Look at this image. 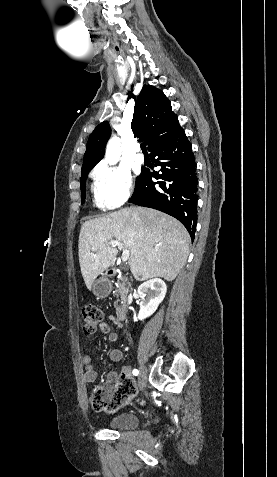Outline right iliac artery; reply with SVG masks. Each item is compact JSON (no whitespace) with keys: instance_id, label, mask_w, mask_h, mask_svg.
<instances>
[{"instance_id":"right-iliac-artery-1","label":"right iliac artery","mask_w":277,"mask_h":477,"mask_svg":"<svg viewBox=\"0 0 277 477\" xmlns=\"http://www.w3.org/2000/svg\"><path fill=\"white\" fill-rule=\"evenodd\" d=\"M138 374H139V371H138L137 369H134V370H133V375H134V376H137Z\"/></svg>"}]
</instances>
